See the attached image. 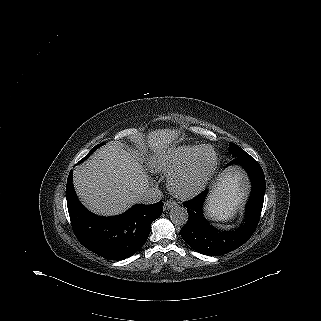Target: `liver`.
Instances as JSON below:
<instances>
[{
  "label": "liver",
  "instance_id": "6515ba94",
  "mask_svg": "<svg viewBox=\"0 0 321 321\" xmlns=\"http://www.w3.org/2000/svg\"><path fill=\"white\" fill-rule=\"evenodd\" d=\"M177 136L175 130L162 129L151 132L147 138L150 146L160 148ZM73 183L80 200L96 214H120L140 201L149 188V180L136 156L121 144L107 145L98 150L84 164L78 166ZM227 192L222 190L211 200L219 203Z\"/></svg>",
  "mask_w": 321,
  "mask_h": 321
}]
</instances>
